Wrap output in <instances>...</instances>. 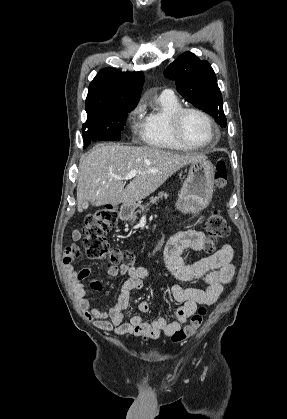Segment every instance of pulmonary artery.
Masks as SVG:
<instances>
[{"label":"pulmonary artery","mask_w":287,"mask_h":419,"mask_svg":"<svg viewBox=\"0 0 287 419\" xmlns=\"http://www.w3.org/2000/svg\"><path fill=\"white\" fill-rule=\"evenodd\" d=\"M162 94H165V95H172V94H173V92H172V90H170V89H164V90L162 91Z\"/></svg>","instance_id":"obj_1"}]
</instances>
